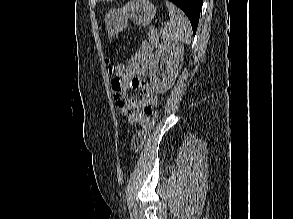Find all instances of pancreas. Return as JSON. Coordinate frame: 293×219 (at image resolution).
<instances>
[{"label": "pancreas", "mask_w": 293, "mask_h": 219, "mask_svg": "<svg viewBox=\"0 0 293 219\" xmlns=\"http://www.w3.org/2000/svg\"><path fill=\"white\" fill-rule=\"evenodd\" d=\"M148 39L153 46L158 45L159 36L155 30H152V29L149 30Z\"/></svg>", "instance_id": "1"}]
</instances>
